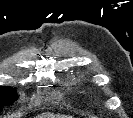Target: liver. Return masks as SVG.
Listing matches in <instances>:
<instances>
[{"instance_id": "6515ba94", "label": "liver", "mask_w": 133, "mask_h": 118, "mask_svg": "<svg viewBox=\"0 0 133 118\" xmlns=\"http://www.w3.org/2000/svg\"><path fill=\"white\" fill-rule=\"evenodd\" d=\"M39 118H44V115H42V116H39Z\"/></svg>"}]
</instances>
